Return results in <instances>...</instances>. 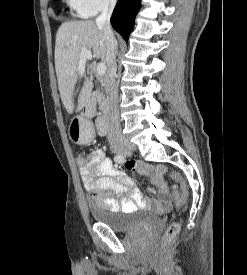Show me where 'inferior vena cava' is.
Masks as SVG:
<instances>
[{"label":"inferior vena cava","mask_w":247,"mask_h":275,"mask_svg":"<svg viewBox=\"0 0 247 275\" xmlns=\"http://www.w3.org/2000/svg\"><path fill=\"white\" fill-rule=\"evenodd\" d=\"M117 0H105L101 14L96 19V25L102 29L107 45V61L109 68L104 77V85L108 94V141L111 146L122 144L126 141L122 134L118 111V86L115 82L117 71L116 53L118 49L117 41L111 29L110 17Z\"/></svg>","instance_id":"inferior-vena-cava-1"}]
</instances>
